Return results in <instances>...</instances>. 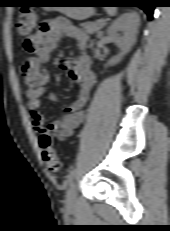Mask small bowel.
I'll list each match as a JSON object with an SVG mask.
<instances>
[{"mask_svg":"<svg viewBox=\"0 0 170 231\" xmlns=\"http://www.w3.org/2000/svg\"><path fill=\"white\" fill-rule=\"evenodd\" d=\"M36 36L38 47L35 55L27 59L22 66L32 129L39 134L46 133L54 136L57 140L64 141L73 134L74 129L84 119L83 108L95 83V74L86 53L88 36L65 18H54L42 22ZM65 37L75 40L80 54L77 59H68L62 62L61 67L67 70L70 78L79 85V91L76 99L66 106L62 115L46 126L40 106L49 75L42 65L49 60L51 52ZM49 100L56 102L58 97L55 93H51Z\"/></svg>","mask_w":170,"mask_h":231,"instance_id":"1","label":"small bowel"}]
</instances>
